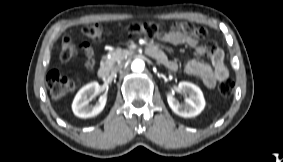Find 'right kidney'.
I'll list each match as a JSON object with an SVG mask.
<instances>
[{
  "mask_svg": "<svg viewBox=\"0 0 283 162\" xmlns=\"http://www.w3.org/2000/svg\"><path fill=\"white\" fill-rule=\"evenodd\" d=\"M99 90L98 82H91L82 87L76 94L73 103V113L80 118H90L98 115L105 107L107 96L103 95L99 98L95 105L89 104V97L96 94Z\"/></svg>",
  "mask_w": 283,
  "mask_h": 162,
  "instance_id": "right-kidney-1",
  "label": "right kidney"
}]
</instances>
